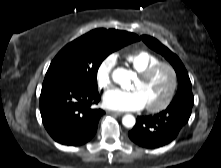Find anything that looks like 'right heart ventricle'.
I'll return each mask as SVG.
<instances>
[{
  "label": "right heart ventricle",
  "mask_w": 221,
  "mask_h": 168,
  "mask_svg": "<svg viewBox=\"0 0 221 168\" xmlns=\"http://www.w3.org/2000/svg\"><path fill=\"white\" fill-rule=\"evenodd\" d=\"M125 59L128 65L137 73L161 62V59L158 56L146 50L129 53L126 55Z\"/></svg>",
  "instance_id": "obj_1"
}]
</instances>
